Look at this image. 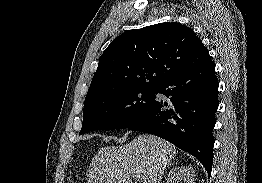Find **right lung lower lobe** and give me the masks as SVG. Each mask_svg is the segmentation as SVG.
Masks as SVG:
<instances>
[{"instance_id":"obj_1","label":"right lung lower lobe","mask_w":262,"mask_h":183,"mask_svg":"<svg viewBox=\"0 0 262 183\" xmlns=\"http://www.w3.org/2000/svg\"><path fill=\"white\" fill-rule=\"evenodd\" d=\"M218 85L212 61L177 74L156 87L155 94L168 100L154 98L126 128L166 139L196 157L210 175Z\"/></svg>"}]
</instances>
